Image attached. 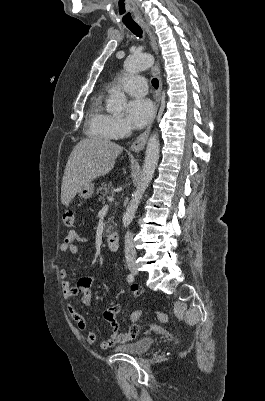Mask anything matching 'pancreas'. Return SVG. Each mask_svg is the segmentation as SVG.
Masks as SVG:
<instances>
[{
  "instance_id": "obj_1",
  "label": "pancreas",
  "mask_w": 265,
  "mask_h": 401,
  "mask_svg": "<svg viewBox=\"0 0 265 401\" xmlns=\"http://www.w3.org/2000/svg\"><path fill=\"white\" fill-rule=\"evenodd\" d=\"M113 190L114 188L112 186V182H102L101 186L97 188L96 194H99V198H101V201H104V196H107L108 192H110V194H113ZM112 219H114V217L108 219V223H111ZM108 223L107 225H105L104 237H107L108 233H110L111 229H113V227H111V225H108Z\"/></svg>"
}]
</instances>
